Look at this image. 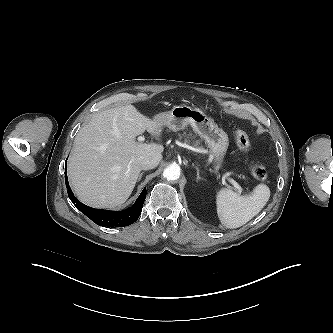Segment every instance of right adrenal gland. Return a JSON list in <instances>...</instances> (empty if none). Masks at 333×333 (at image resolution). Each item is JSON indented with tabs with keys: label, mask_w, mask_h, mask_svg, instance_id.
I'll return each instance as SVG.
<instances>
[{
	"label": "right adrenal gland",
	"mask_w": 333,
	"mask_h": 333,
	"mask_svg": "<svg viewBox=\"0 0 333 333\" xmlns=\"http://www.w3.org/2000/svg\"><path fill=\"white\" fill-rule=\"evenodd\" d=\"M142 175H143V172H142V173H140V175H139V177H138V181H140V179H141Z\"/></svg>",
	"instance_id": "right-adrenal-gland-1"
}]
</instances>
